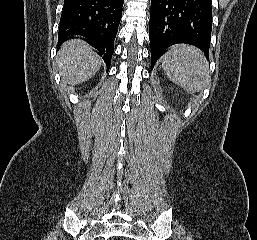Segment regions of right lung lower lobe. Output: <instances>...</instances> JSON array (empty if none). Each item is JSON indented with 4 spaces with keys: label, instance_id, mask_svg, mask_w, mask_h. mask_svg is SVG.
I'll return each mask as SVG.
<instances>
[{
    "label": "right lung lower lobe",
    "instance_id": "obj_1",
    "mask_svg": "<svg viewBox=\"0 0 257 240\" xmlns=\"http://www.w3.org/2000/svg\"><path fill=\"white\" fill-rule=\"evenodd\" d=\"M124 0H64L58 47L81 35L96 48L109 69Z\"/></svg>",
    "mask_w": 257,
    "mask_h": 240
}]
</instances>
